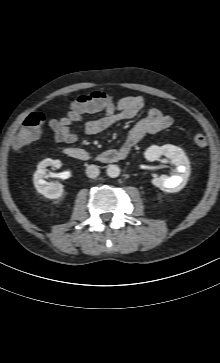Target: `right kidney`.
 <instances>
[{
  "instance_id": "right-kidney-1",
  "label": "right kidney",
  "mask_w": 220,
  "mask_h": 363,
  "mask_svg": "<svg viewBox=\"0 0 220 363\" xmlns=\"http://www.w3.org/2000/svg\"><path fill=\"white\" fill-rule=\"evenodd\" d=\"M61 165V161L59 160L45 159L37 166V170L33 175V183L36 190L46 198L57 199L63 194L62 184L53 182L48 183L44 180V177L47 174L46 167L54 166L56 168H60Z\"/></svg>"
}]
</instances>
